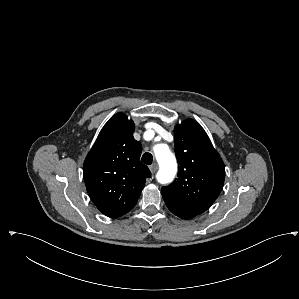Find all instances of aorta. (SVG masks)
<instances>
[{"label": "aorta", "mask_w": 299, "mask_h": 299, "mask_svg": "<svg viewBox=\"0 0 299 299\" xmlns=\"http://www.w3.org/2000/svg\"><path fill=\"white\" fill-rule=\"evenodd\" d=\"M154 152L160 167L156 175L158 182L161 184L170 183L174 179L177 172L175 156L164 144L157 145L154 148Z\"/></svg>", "instance_id": "aorta-1"}]
</instances>
